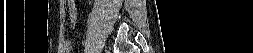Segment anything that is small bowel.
Here are the masks:
<instances>
[{"label": "small bowel", "mask_w": 253, "mask_h": 53, "mask_svg": "<svg viewBox=\"0 0 253 53\" xmlns=\"http://www.w3.org/2000/svg\"><path fill=\"white\" fill-rule=\"evenodd\" d=\"M69 5H70V26L75 27L76 19H77L76 9H75L74 4L72 2H70ZM64 48L66 51H70L72 49V42L69 40L65 41Z\"/></svg>", "instance_id": "1"}]
</instances>
